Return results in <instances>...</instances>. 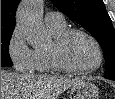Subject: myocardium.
Instances as JSON below:
<instances>
[{
  "mask_svg": "<svg viewBox=\"0 0 115 99\" xmlns=\"http://www.w3.org/2000/svg\"><path fill=\"white\" fill-rule=\"evenodd\" d=\"M74 34H81L85 36L94 45L97 53V61L94 66L80 69L70 66L64 61L62 57V48L67 39ZM49 57L57 70L73 74H89L98 70L102 65L103 52L100 43L91 33L81 28H68L53 39L49 48Z\"/></svg>",
  "mask_w": 115,
  "mask_h": 99,
  "instance_id": "myocardium-1",
  "label": "myocardium"
}]
</instances>
